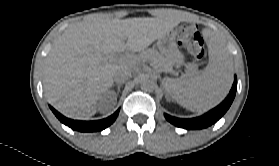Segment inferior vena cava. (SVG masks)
I'll return each mask as SVG.
<instances>
[{
  "mask_svg": "<svg viewBox=\"0 0 279 166\" xmlns=\"http://www.w3.org/2000/svg\"><path fill=\"white\" fill-rule=\"evenodd\" d=\"M132 75L131 67H122L114 73V80L117 83L128 80Z\"/></svg>",
  "mask_w": 279,
  "mask_h": 166,
  "instance_id": "602c4592",
  "label": "inferior vena cava"
}]
</instances>
